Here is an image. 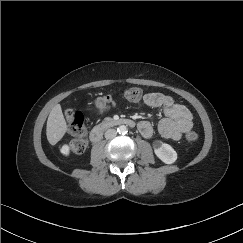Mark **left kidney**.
Listing matches in <instances>:
<instances>
[{
  "label": "left kidney",
  "instance_id": "left-kidney-1",
  "mask_svg": "<svg viewBox=\"0 0 243 243\" xmlns=\"http://www.w3.org/2000/svg\"><path fill=\"white\" fill-rule=\"evenodd\" d=\"M153 148L155 155L165 164H173L177 160V153L169 144L156 141Z\"/></svg>",
  "mask_w": 243,
  "mask_h": 243
}]
</instances>
